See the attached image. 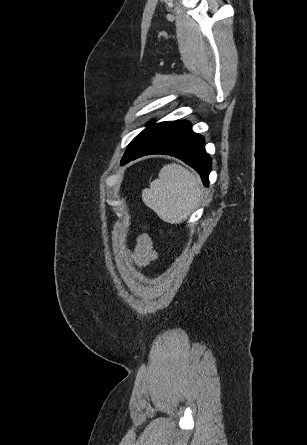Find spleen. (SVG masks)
<instances>
[{
    "label": "spleen",
    "instance_id": "obj_1",
    "mask_svg": "<svg viewBox=\"0 0 307 445\" xmlns=\"http://www.w3.org/2000/svg\"><path fill=\"white\" fill-rule=\"evenodd\" d=\"M159 178L142 190V200L170 225H179L197 208L201 198L200 178L181 164L161 168Z\"/></svg>",
    "mask_w": 307,
    "mask_h": 445
}]
</instances>
